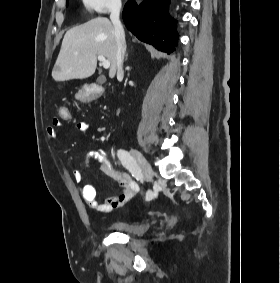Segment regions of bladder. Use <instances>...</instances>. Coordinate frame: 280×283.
I'll return each instance as SVG.
<instances>
[{
	"label": "bladder",
	"mask_w": 280,
	"mask_h": 283,
	"mask_svg": "<svg viewBox=\"0 0 280 283\" xmlns=\"http://www.w3.org/2000/svg\"><path fill=\"white\" fill-rule=\"evenodd\" d=\"M152 227L151 222H126V221H117L110 224V229L115 232L137 236L144 234Z\"/></svg>",
	"instance_id": "1"
}]
</instances>
